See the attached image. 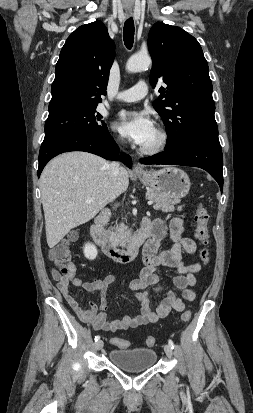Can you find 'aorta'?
<instances>
[{
	"label": "aorta",
	"mask_w": 253,
	"mask_h": 413,
	"mask_svg": "<svg viewBox=\"0 0 253 413\" xmlns=\"http://www.w3.org/2000/svg\"><path fill=\"white\" fill-rule=\"evenodd\" d=\"M151 63L152 61L150 56L136 54L128 59L126 63V69L128 72L136 73L147 69L151 65Z\"/></svg>",
	"instance_id": "762f6f07"
}]
</instances>
